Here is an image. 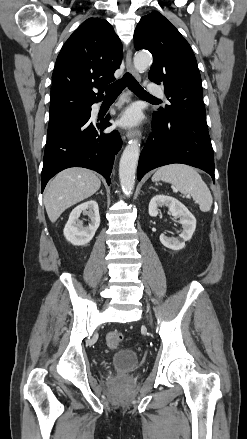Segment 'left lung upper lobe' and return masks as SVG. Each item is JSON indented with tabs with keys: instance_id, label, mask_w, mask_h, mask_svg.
Returning a JSON list of instances; mask_svg holds the SVG:
<instances>
[{
	"instance_id": "left-lung-upper-lobe-1",
	"label": "left lung upper lobe",
	"mask_w": 247,
	"mask_h": 439,
	"mask_svg": "<svg viewBox=\"0 0 247 439\" xmlns=\"http://www.w3.org/2000/svg\"><path fill=\"white\" fill-rule=\"evenodd\" d=\"M136 50L146 49L153 55L149 79L164 84L170 101L165 109L154 112L161 119L190 117L206 123L201 76L194 53L179 31L159 12L140 19L135 33Z\"/></svg>"
}]
</instances>
